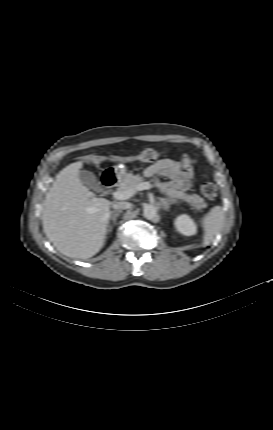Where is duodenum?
Instances as JSON below:
<instances>
[{
    "label": "duodenum",
    "mask_w": 273,
    "mask_h": 430,
    "mask_svg": "<svg viewBox=\"0 0 273 430\" xmlns=\"http://www.w3.org/2000/svg\"><path fill=\"white\" fill-rule=\"evenodd\" d=\"M101 180L103 185L107 188H113L118 183L117 175L111 171L105 172Z\"/></svg>",
    "instance_id": "410a0bca"
}]
</instances>
